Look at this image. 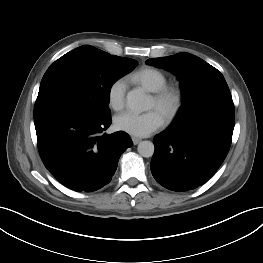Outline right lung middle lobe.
I'll list each match as a JSON object with an SVG mask.
<instances>
[{"instance_id":"dd1d6c3e","label":"right lung middle lobe","mask_w":263,"mask_h":263,"mask_svg":"<svg viewBox=\"0 0 263 263\" xmlns=\"http://www.w3.org/2000/svg\"><path fill=\"white\" fill-rule=\"evenodd\" d=\"M137 65L133 59L110 55L89 45L66 53L42 78L34 119L56 112L110 117L111 86Z\"/></svg>"}]
</instances>
